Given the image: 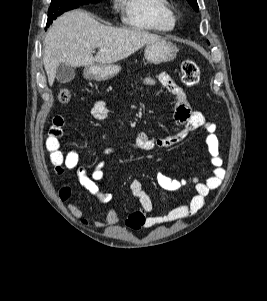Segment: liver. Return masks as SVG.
<instances>
[{
	"instance_id": "6515ba94",
	"label": "liver",
	"mask_w": 267,
	"mask_h": 301,
	"mask_svg": "<svg viewBox=\"0 0 267 301\" xmlns=\"http://www.w3.org/2000/svg\"><path fill=\"white\" fill-rule=\"evenodd\" d=\"M159 39L156 34L138 29L102 25L83 10L64 13L53 22L43 43L49 85H53L56 69L62 63L71 67L112 64ZM95 48L99 50L93 57Z\"/></svg>"
}]
</instances>
